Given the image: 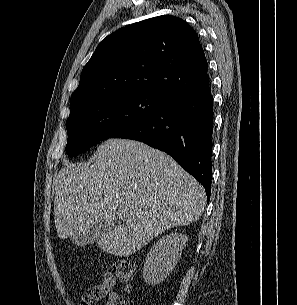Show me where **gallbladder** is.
<instances>
[{
	"mask_svg": "<svg viewBox=\"0 0 297 305\" xmlns=\"http://www.w3.org/2000/svg\"><path fill=\"white\" fill-rule=\"evenodd\" d=\"M110 225L106 222L95 224L86 232L80 233L72 238V243L83 247L89 244H93L95 241L103 237L109 230Z\"/></svg>",
	"mask_w": 297,
	"mask_h": 305,
	"instance_id": "1",
	"label": "gallbladder"
}]
</instances>
